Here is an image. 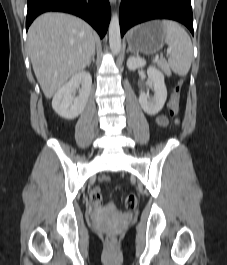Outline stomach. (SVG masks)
Here are the masks:
<instances>
[{
	"label": "stomach",
	"mask_w": 227,
	"mask_h": 265,
	"mask_svg": "<svg viewBox=\"0 0 227 265\" xmlns=\"http://www.w3.org/2000/svg\"><path fill=\"white\" fill-rule=\"evenodd\" d=\"M165 36L163 25L157 21H151L139 25L129 32L128 45L136 52L153 54L162 48Z\"/></svg>",
	"instance_id": "obj_1"
}]
</instances>
